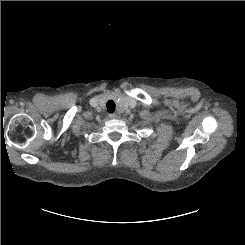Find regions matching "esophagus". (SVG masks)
<instances>
[{"instance_id":"obj_1","label":"esophagus","mask_w":245,"mask_h":245,"mask_svg":"<svg viewBox=\"0 0 245 245\" xmlns=\"http://www.w3.org/2000/svg\"><path fill=\"white\" fill-rule=\"evenodd\" d=\"M109 117L111 119H118L120 117V115L118 113H113V114H110Z\"/></svg>"}]
</instances>
